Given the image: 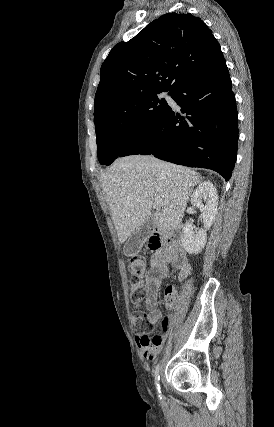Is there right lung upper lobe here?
<instances>
[{
  "instance_id": "1",
  "label": "right lung upper lobe",
  "mask_w": 274,
  "mask_h": 427,
  "mask_svg": "<svg viewBox=\"0 0 274 427\" xmlns=\"http://www.w3.org/2000/svg\"><path fill=\"white\" fill-rule=\"evenodd\" d=\"M212 31L189 13H168L128 42H120L102 64L94 117L129 97L169 91L224 66Z\"/></svg>"
}]
</instances>
